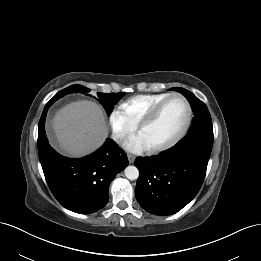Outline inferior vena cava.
Returning a JSON list of instances; mask_svg holds the SVG:
<instances>
[{"mask_svg": "<svg viewBox=\"0 0 261 261\" xmlns=\"http://www.w3.org/2000/svg\"><path fill=\"white\" fill-rule=\"evenodd\" d=\"M116 140H117V141H122V140H123V137H116Z\"/></svg>", "mask_w": 261, "mask_h": 261, "instance_id": "inferior-vena-cava-1", "label": "inferior vena cava"}]
</instances>
